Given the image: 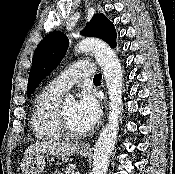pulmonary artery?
I'll return each instance as SVG.
<instances>
[{
    "label": "pulmonary artery",
    "mask_w": 175,
    "mask_h": 174,
    "mask_svg": "<svg viewBox=\"0 0 175 174\" xmlns=\"http://www.w3.org/2000/svg\"><path fill=\"white\" fill-rule=\"evenodd\" d=\"M95 75L94 65L88 61H79L73 64L67 71L55 78L49 88L57 93H65L80 79Z\"/></svg>",
    "instance_id": "obj_1"
}]
</instances>
